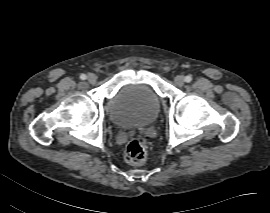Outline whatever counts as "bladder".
I'll use <instances>...</instances> for the list:
<instances>
[{"mask_svg":"<svg viewBox=\"0 0 270 213\" xmlns=\"http://www.w3.org/2000/svg\"><path fill=\"white\" fill-rule=\"evenodd\" d=\"M160 107L161 98L154 88L144 83H126L110 98L107 114L117 126H144L156 119Z\"/></svg>","mask_w":270,"mask_h":213,"instance_id":"31cf9c89","label":"bladder"}]
</instances>
